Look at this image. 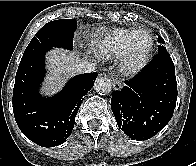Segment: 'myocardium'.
Here are the masks:
<instances>
[{
  "label": "myocardium",
  "mask_w": 196,
  "mask_h": 166,
  "mask_svg": "<svg viewBox=\"0 0 196 166\" xmlns=\"http://www.w3.org/2000/svg\"><path fill=\"white\" fill-rule=\"evenodd\" d=\"M138 32H145L149 38V45L145 54L140 59L133 57L130 42L133 36ZM154 52V39L152 33L146 28L133 29L125 40V48L120 56L119 68L120 71L126 76H134L140 73L151 62Z\"/></svg>",
  "instance_id": "myocardium-1"
}]
</instances>
